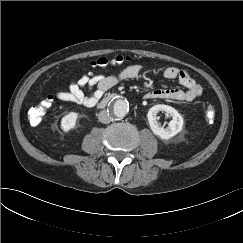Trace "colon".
Returning a JSON list of instances; mask_svg holds the SVG:
<instances>
[{
    "label": "colon",
    "instance_id": "5ec220e1",
    "mask_svg": "<svg viewBox=\"0 0 243 243\" xmlns=\"http://www.w3.org/2000/svg\"><path fill=\"white\" fill-rule=\"evenodd\" d=\"M129 61V57L116 56L112 59L99 58L91 63L92 69H106L110 66H119ZM53 97L48 96L45 100L41 101L38 105L32 107L28 112V120L31 125L37 126L41 123L46 111L52 105ZM216 112L212 106H208L205 110V118L208 122L215 119Z\"/></svg>",
    "mask_w": 243,
    "mask_h": 243
}]
</instances>
